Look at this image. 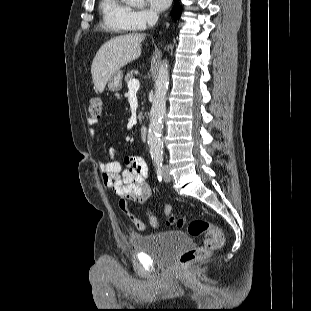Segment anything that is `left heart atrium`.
Masks as SVG:
<instances>
[{
    "mask_svg": "<svg viewBox=\"0 0 311 311\" xmlns=\"http://www.w3.org/2000/svg\"><path fill=\"white\" fill-rule=\"evenodd\" d=\"M148 2L154 10L162 11L170 5L171 0H148Z\"/></svg>",
    "mask_w": 311,
    "mask_h": 311,
    "instance_id": "1",
    "label": "left heart atrium"
}]
</instances>
